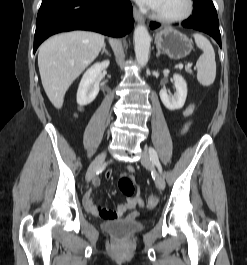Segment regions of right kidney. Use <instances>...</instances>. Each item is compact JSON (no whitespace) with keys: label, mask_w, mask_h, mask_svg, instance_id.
<instances>
[{"label":"right kidney","mask_w":247,"mask_h":265,"mask_svg":"<svg viewBox=\"0 0 247 265\" xmlns=\"http://www.w3.org/2000/svg\"><path fill=\"white\" fill-rule=\"evenodd\" d=\"M109 64L108 60L95 63L84 73L77 91V103L79 105L90 104L96 98L100 90L99 75L108 68Z\"/></svg>","instance_id":"1"}]
</instances>
